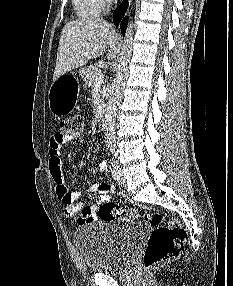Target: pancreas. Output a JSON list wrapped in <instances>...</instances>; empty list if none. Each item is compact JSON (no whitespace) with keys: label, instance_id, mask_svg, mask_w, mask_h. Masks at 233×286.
<instances>
[{"label":"pancreas","instance_id":"1","mask_svg":"<svg viewBox=\"0 0 233 286\" xmlns=\"http://www.w3.org/2000/svg\"><path fill=\"white\" fill-rule=\"evenodd\" d=\"M100 73V70L95 65H89L79 71L80 76L83 78L85 87H92L95 83L93 75Z\"/></svg>","mask_w":233,"mask_h":286}]
</instances>
